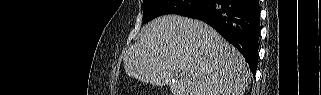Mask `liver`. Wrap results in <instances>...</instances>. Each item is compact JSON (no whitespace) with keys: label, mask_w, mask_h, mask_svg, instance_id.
Listing matches in <instances>:
<instances>
[{"label":"liver","mask_w":321,"mask_h":95,"mask_svg":"<svg viewBox=\"0 0 321 95\" xmlns=\"http://www.w3.org/2000/svg\"><path fill=\"white\" fill-rule=\"evenodd\" d=\"M123 52L131 78L169 85L172 95H243L251 73L240 52L199 20L165 15Z\"/></svg>","instance_id":"obj_1"}]
</instances>
